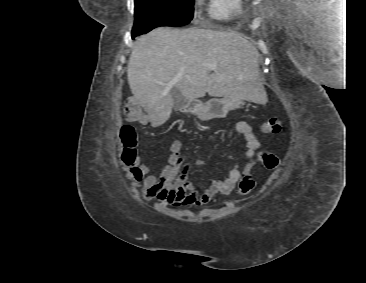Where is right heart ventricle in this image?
I'll use <instances>...</instances> for the list:
<instances>
[{
  "label": "right heart ventricle",
  "instance_id": "1",
  "mask_svg": "<svg viewBox=\"0 0 366 283\" xmlns=\"http://www.w3.org/2000/svg\"><path fill=\"white\" fill-rule=\"evenodd\" d=\"M243 0H210L209 13L217 20L227 21L243 13Z\"/></svg>",
  "mask_w": 366,
  "mask_h": 283
}]
</instances>
